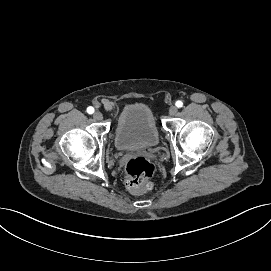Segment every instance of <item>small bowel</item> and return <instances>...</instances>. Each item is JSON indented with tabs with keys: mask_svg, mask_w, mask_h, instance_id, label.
<instances>
[{
	"mask_svg": "<svg viewBox=\"0 0 271 271\" xmlns=\"http://www.w3.org/2000/svg\"><path fill=\"white\" fill-rule=\"evenodd\" d=\"M103 104L106 107V109H108V110H111L113 108V106H114L113 103L111 101H109V100H105L103 102Z\"/></svg>",
	"mask_w": 271,
	"mask_h": 271,
	"instance_id": "1",
	"label": "small bowel"
}]
</instances>
